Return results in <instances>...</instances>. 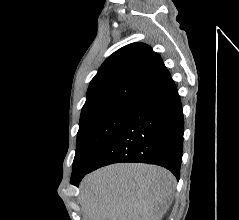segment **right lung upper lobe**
Segmentation results:
<instances>
[{
    "label": "right lung upper lobe",
    "instance_id": "right-lung-upper-lobe-1",
    "mask_svg": "<svg viewBox=\"0 0 239 220\" xmlns=\"http://www.w3.org/2000/svg\"><path fill=\"white\" fill-rule=\"evenodd\" d=\"M170 77L161 57L146 44L132 43L110 55L91 80L81 118L119 105H132Z\"/></svg>",
    "mask_w": 239,
    "mask_h": 220
}]
</instances>
